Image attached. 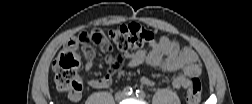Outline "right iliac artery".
Masks as SVG:
<instances>
[{"label": "right iliac artery", "instance_id": "right-iliac-artery-1", "mask_svg": "<svg viewBox=\"0 0 252 104\" xmlns=\"http://www.w3.org/2000/svg\"><path fill=\"white\" fill-rule=\"evenodd\" d=\"M123 92L125 95H131L133 93V90L131 87L127 86L124 88Z\"/></svg>", "mask_w": 252, "mask_h": 104}]
</instances>
